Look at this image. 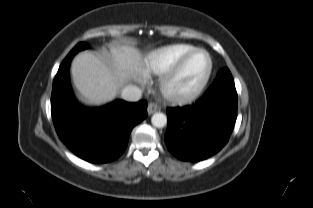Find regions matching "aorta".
Returning <instances> with one entry per match:
<instances>
[{
    "label": "aorta",
    "instance_id": "obj_1",
    "mask_svg": "<svg viewBox=\"0 0 313 208\" xmlns=\"http://www.w3.org/2000/svg\"><path fill=\"white\" fill-rule=\"evenodd\" d=\"M151 123L157 128H162L167 124V117L163 113H155L151 118Z\"/></svg>",
    "mask_w": 313,
    "mask_h": 208
}]
</instances>
